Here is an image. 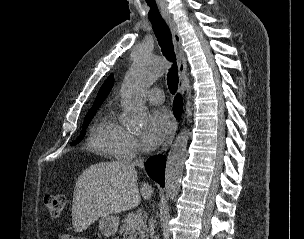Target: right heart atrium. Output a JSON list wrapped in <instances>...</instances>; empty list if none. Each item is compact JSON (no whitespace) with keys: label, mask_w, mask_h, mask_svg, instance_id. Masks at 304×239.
<instances>
[{"label":"right heart atrium","mask_w":304,"mask_h":239,"mask_svg":"<svg viewBox=\"0 0 304 239\" xmlns=\"http://www.w3.org/2000/svg\"><path fill=\"white\" fill-rule=\"evenodd\" d=\"M116 155L122 160H131L143 152V147L138 137L121 129L115 144Z\"/></svg>","instance_id":"obj_1"}]
</instances>
